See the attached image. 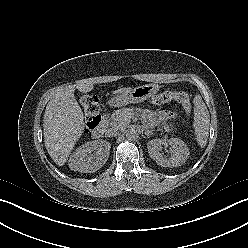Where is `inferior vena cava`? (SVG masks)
<instances>
[{
  "label": "inferior vena cava",
  "mask_w": 248,
  "mask_h": 248,
  "mask_svg": "<svg viewBox=\"0 0 248 248\" xmlns=\"http://www.w3.org/2000/svg\"><path fill=\"white\" fill-rule=\"evenodd\" d=\"M122 131V128L120 127H112L106 131V135L108 137H113L119 135V133Z\"/></svg>",
  "instance_id": "inferior-vena-cava-1"
}]
</instances>
